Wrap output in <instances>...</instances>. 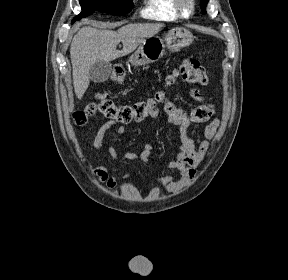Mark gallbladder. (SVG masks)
<instances>
[{"label":"gallbladder","instance_id":"1","mask_svg":"<svg viewBox=\"0 0 288 280\" xmlns=\"http://www.w3.org/2000/svg\"><path fill=\"white\" fill-rule=\"evenodd\" d=\"M112 72V65L110 62L98 60L89 70L90 79L93 82L101 83L106 81Z\"/></svg>","mask_w":288,"mask_h":280}]
</instances>
